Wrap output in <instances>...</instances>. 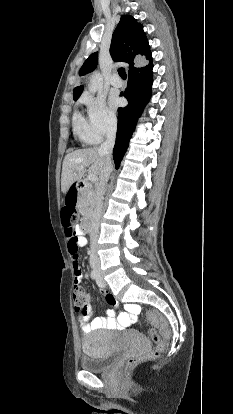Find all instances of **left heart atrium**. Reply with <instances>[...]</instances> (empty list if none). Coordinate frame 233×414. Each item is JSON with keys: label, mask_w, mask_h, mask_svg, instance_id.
I'll return each mask as SVG.
<instances>
[{"label": "left heart atrium", "mask_w": 233, "mask_h": 414, "mask_svg": "<svg viewBox=\"0 0 233 414\" xmlns=\"http://www.w3.org/2000/svg\"><path fill=\"white\" fill-rule=\"evenodd\" d=\"M110 104L113 108H117L122 104V99L118 95L112 94L110 96Z\"/></svg>", "instance_id": "obj_1"}]
</instances>
